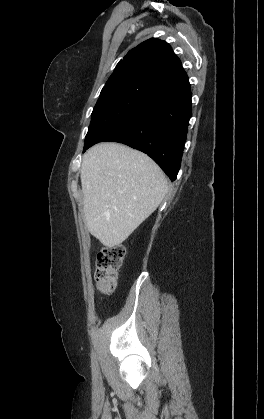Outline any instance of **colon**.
<instances>
[{"label":"colon","mask_w":264,"mask_h":419,"mask_svg":"<svg viewBox=\"0 0 264 419\" xmlns=\"http://www.w3.org/2000/svg\"><path fill=\"white\" fill-rule=\"evenodd\" d=\"M125 256L123 246L103 247L97 254L95 282L98 289L103 293L113 291L117 271L121 267Z\"/></svg>","instance_id":"1"}]
</instances>
